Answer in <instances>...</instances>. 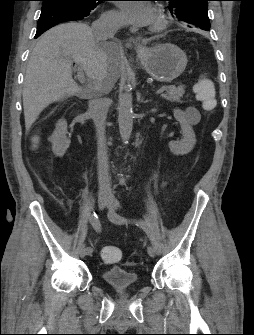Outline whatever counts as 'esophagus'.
Returning a JSON list of instances; mask_svg holds the SVG:
<instances>
[{"label": "esophagus", "instance_id": "1", "mask_svg": "<svg viewBox=\"0 0 254 335\" xmlns=\"http://www.w3.org/2000/svg\"><path fill=\"white\" fill-rule=\"evenodd\" d=\"M131 41H134V39H131ZM138 48H139L140 50H143V47H142L141 45H138Z\"/></svg>", "mask_w": 254, "mask_h": 335}]
</instances>
